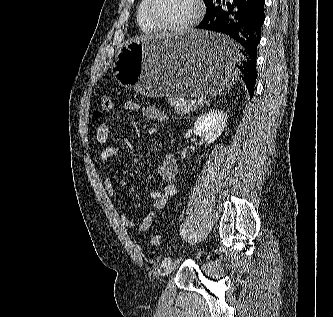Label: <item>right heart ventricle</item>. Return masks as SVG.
Returning <instances> with one entry per match:
<instances>
[{"label":"right heart ventricle","instance_id":"obj_1","mask_svg":"<svg viewBox=\"0 0 333 317\" xmlns=\"http://www.w3.org/2000/svg\"><path fill=\"white\" fill-rule=\"evenodd\" d=\"M145 0H141L137 8V23L140 30L147 34H152L158 31L147 19L145 15Z\"/></svg>","mask_w":333,"mask_h":317}]
</instances>
